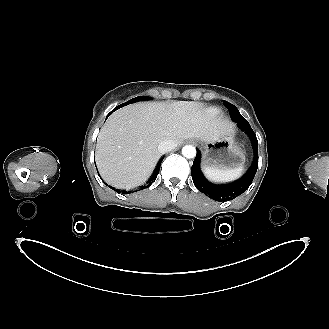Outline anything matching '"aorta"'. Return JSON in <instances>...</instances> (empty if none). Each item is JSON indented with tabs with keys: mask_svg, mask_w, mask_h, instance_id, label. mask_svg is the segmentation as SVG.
Wrapping results in <instances>:
<instances>
[{
	"mask_svg": "<svg viewBox=\"0 0 329 329\" xmlns=\"http://www.w3.org/2000/svg\"><path fill=\"white\" fill-rule=\"evenodd\" d=\"M182 155L186 158H194L196 156V149L192 145H186L182 148Z\"/></svg>",
	"mask_w": 329,
	"mask_h": 329,
	"instance_id": "obj_1",
	"label": "aorta"
}]
</instances>
